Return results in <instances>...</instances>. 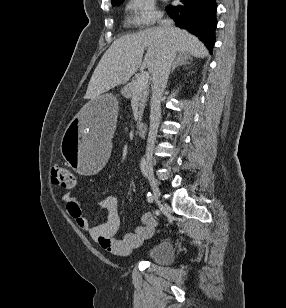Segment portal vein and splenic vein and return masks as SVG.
<instances>
[{"instance_id":"obj_1","label":"portal vein and splenic vein","mask_w":286,"mask_h":308,"mask_svg":"<svg viewBox=\"0 0 286 308\" xmlns=\"http://www.w3.org/2000/svg\"><path fill=\"white\" fill-rule=\"evenodd\" d=\"M149 80V73L147 71H143L141 75L137 78V84L136 88L137 89H142Z\"/></svg>"}]
</instances>
